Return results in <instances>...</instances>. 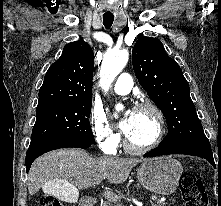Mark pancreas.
<instances>
[{
  "label": "pancreas",
  "instance_id": "1",
  "mask_svg": "<svg viewBox=\"0 0 221 206\" xmlns=\"http://www.w3.org/2000/svg\"><path fill=\"white\" fill-rule=\"evenodd\" d=\"M116 199H117V197L115 198V200ZM115 200H109V201L105 202L103 204V206H119L118 204H116L114 202ZM152 206H166V203L165 202H161V201H156L154 204H152Z\"/></svg>",
  "mask_w": 221,
  "mask_h": 206
}]
</instances>
